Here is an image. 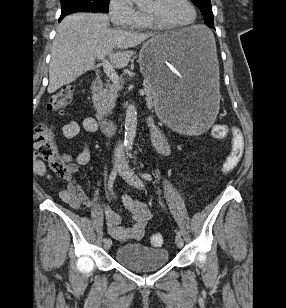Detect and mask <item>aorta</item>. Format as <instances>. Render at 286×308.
I'll return each instance as SVG.
<instances>
[{"label":"aorta","instance_id":"1","mask_svg":"<svg viewBox=\"0 0 286 308\" xmlns=\"http://www.w3.org/2000/svg\"><path fill=\"white\" fill-rule=\"evenodd\" d=\"M136 3H142L146 0H132ZM136 124H137V112L134 104H129L126 109L125 117V138L124 144L126 146H132L135 135H136Z\"/></svg>","mask_w":286,"mask_h":308}]
</instances>
